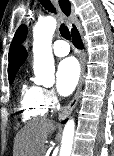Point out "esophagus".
<instances>
[{
	"instance_id": "34e87169",
	"label": "esophagus",
	"mask_w": 114,
	"mask_h": 156,
	"mask_svg": "<svg viewBox=\"0 0 114 156\" xmlns=\"http://www.w3.org/2000/svg\"><path fill=\"white\" fill-rule=\"evenodd\" d=\"M51 1L53 3L54 7L56 8V10L59 12L62 20L68 24V18L62 12V10L59 6L58 0H51ZM68 26L70 27V24H68ZM78 57H79L80 67H81L79 82H78L76 92H75L72 100L68 103V105H66L64 107V109L59 114V118H58L59 121L64 120L73 111V109L77 105L79 98H80V93H81V89H82V85H83L84 72H85V56H84V53L82 50L79 51Z\"/></svg>"
}]
</instances>
